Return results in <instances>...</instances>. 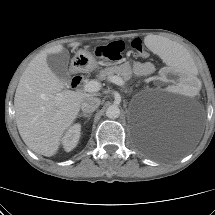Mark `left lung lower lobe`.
Segmentation results:
<instances>
[{
  "instance_id": "0a47b994",
  "label": "left lung lower lobe",
  "mask_w": 215,
  "mask_h": 215,
  "mask_svg": "<svg viewBox=\"0 0 215 215\" xmlns=\"http://www.w3.org/2000/svg\"><path fill=\"white\" fill-rule=\"evenodd\" d=\"M178 153V149H176L175 147H172L170 146V148L168 149H165L163 152H162V156H171V155H174Z\"/></svg>"
}]
</instances>
